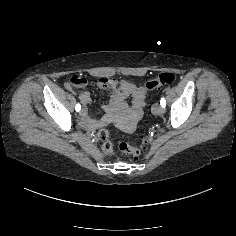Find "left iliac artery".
<instances>
[{
    "mask_svg": "<svg viewBox=\"0 0 236 236\" xmlns=\"http://www.w3.org/2000/svg\"><path fill=\"white\" fill-rule=\"evenodd\" d=\"M160 105H161L163 108H165V106H166V101H165L164 98H161V100H160Z\"/></svg>",
    "mask_w": 236,
    "mask_h": 236,
    "instance_id": "obj_1",
    "label": "left iliac artery"
}]
</instances>
